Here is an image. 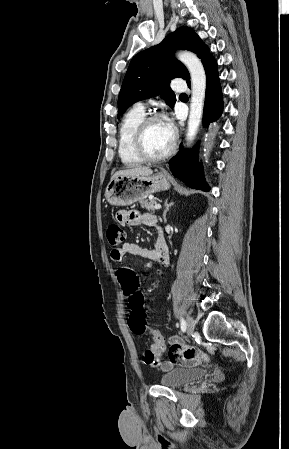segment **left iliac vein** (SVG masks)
I'll return each instance as SVG.
<instances>
[{
	"instance_id": "1",
	"label": "left iliac vein",
	"mask_w": 289,
	"mask_h": 449,
	"mask_svg": "<svg viewBox=\"0 0 289 449\" xmlns=\"http://www.w3.org/2000/svg\"><path fill=\"white\" fill-rule=\"evenodd\" d=\"M195 328V321L191 316L187 317V331L188 334H192Z\"/></svg>"
}]
</instances>
